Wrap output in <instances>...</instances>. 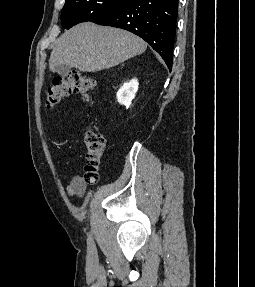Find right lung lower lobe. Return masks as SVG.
<instances>
[{
	"label": "right lung lower lobe",
	"instance_id": "1",
	"mask_svg": "<svg viewBox=\"0 0 255 287\" xmlns=\"http://www.w3.org/2000/svg\"><path fill=\"white\" fill-rule=\"evenodd\" d=\"M178 0H126L91 22L119 27L144 39L171 70Z\"/></svg>",
	"mask_w": 255,
	"mask_h": 287
}]
</instances>
